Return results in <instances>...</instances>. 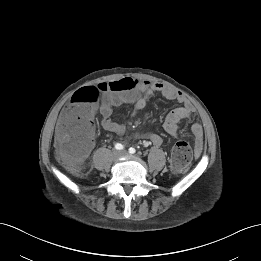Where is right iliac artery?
Here are the masks:
<instances>
[{"instance_id":"right-iliac-artery-1","label":"right iliac artery","mask_w":261,"mask_h":261,"mask_svg":"<svg viewBox=\"0 0 261 261\" xmlns=\"http://www.w3.org/2000/svg\"><path fill=\"white\" fill-rule=\"evenodd\" d=\"M115 148L117 150H122L124 148V146L122 144H120V143H117V144H115Z\"/></svg>"}]
</instances>
